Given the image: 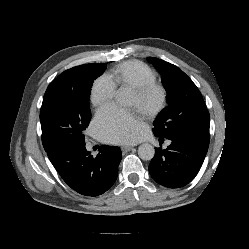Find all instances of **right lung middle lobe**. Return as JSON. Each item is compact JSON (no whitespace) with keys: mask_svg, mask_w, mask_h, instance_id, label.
I'll return each instance as SVG.
<instances>
[{"mask_svg":"<svg viewBox=\"0 0 249 249\" xmlns=\"http://www.w3.org/2000/svg\"><path fill=\"white\" fill-rule=\"evenodd\" d=\"M105 69L104 63L76 66L50 83L40 111L45 151L62 144L84 143L83 132L91 119V87Z\"/></svg>","mask_w":249,"mask_h":249,"instance_id":"dd1d6c3e","label":"right lung middle lobe"}]
</instances>
